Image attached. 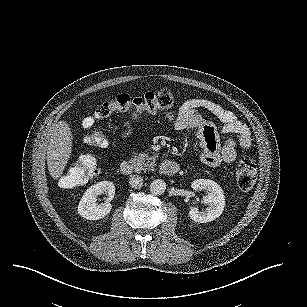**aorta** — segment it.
I'll list each match as a JSON object with an SVG mask.
<instances>
[{
	"instance_id": "aorta-1",
	"label": "aorta",
	"mask_w": 307,
	"mask_h": 307,
	"mask_svg": "<svg viewBox=\"0 0 307 307\" xmlns=\"http://www.w3.org/2000/svg\"><path fill=\"white\" fill-rule=\"evenodd\" d=\"M167 188V184L163 179H155L150 184V192L153 195H162Z\"/></svg>"
}]
</instances>
